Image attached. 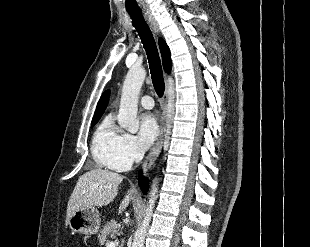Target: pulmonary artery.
<instances>
[{
  "label": "pulmonary artery",
  "mask_w": 310,
  "mask_h": 247,
  "mask_svg": "<svg viewBox=\"0 0 310 247\" xmlns=\"http://www.w3.org/2000/svg\"><path fill=\"white\" fill-rule=\"evenodd\" d=\"M141 105L146 109H151L154 106L153 98L149 95H145L140 100Z\"/></svg>",
  "instance_id": "e3ab8cb5"
}]
</instances>
